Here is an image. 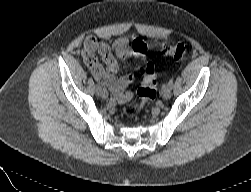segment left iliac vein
I'll use <instances>...</instances> for the list:
<instances>
[{
	"label": "left iliac vein",
	"instance_id": "left-iliac-vein-1",
	"mask_svg": "<svg viewBox=\"0 0 251 192\" xmlns=\"http://www.w3.org/2000/svg\"><path fill=\"white\" fill-rule=\"evenodd\" d=\"M171 87L166 84L162 87V90H161V96L163 99H169L171 97Z\"/></svg>",
	"mask_w": 251,
	"mask_h": 192
}]
</instances>
